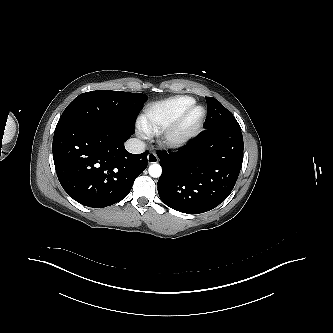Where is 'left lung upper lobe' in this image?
<instances>
[{"mask_svg": "<svg viewBox=\"0 0 333 333\" xmlns=\"http://www.w3.org/2000/svg\"><path fill=\"white\" fill-rule=\"evenodd\" d=\"M207 116L204 126H233L240 128L235 117L215 98L206 97Z\"/></svg>", "mask_w": 333, "mask_h": 333, "instance_id": "5c2ea615", "label": "left lung upper lobe"}]
</instances>
